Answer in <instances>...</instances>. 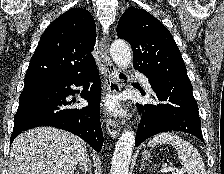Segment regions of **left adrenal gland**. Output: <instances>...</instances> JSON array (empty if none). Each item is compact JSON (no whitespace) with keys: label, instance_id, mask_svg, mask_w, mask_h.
I'll return each mask as SVG.
<instances>
[{"label":"left adrenal gland","instance_id":"left-adrenal-gland-1","mask_svg":"<svg viewBox=\"0 0 224 174\" xmlns=\"http://www.w3.org/2000/svg\"><path fill=\"white\" fill-rule=\"evenodd\" d=\"M146 166H148V164L145 163V160H142L140 171H141L142 169H144Z\"/></svg>","mask_w":224,"mask_h":174}]
</instances>
